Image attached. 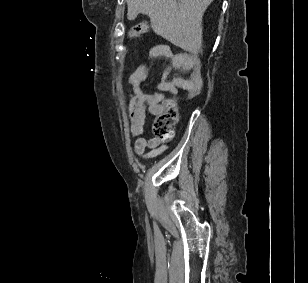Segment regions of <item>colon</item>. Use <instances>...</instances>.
I'll return each mask as SVG.
<instances>
[{"label":"colon","mask_w":308,"mask_h":283,"mask_svg":"<svg viewBox=\"0 0 308 283\" xmlns=\"http://www.w3.org/2000/svg\"><path fill=\"white\" fill-rule=\"evenodd\" d=\"M149 25L143 21L134 25L128 32L129 38H135L148 29ZM189 86L186 89V96H196L203 85V73L200 56L194 52L192 55V66L189 77ZM178 101L174 98L165 99L161 102V111L156 115L151 131L154 138L159 140H171L174 137L173 126L177 121Z\"/></svg>","instance_id":"1"}]
</instances>
